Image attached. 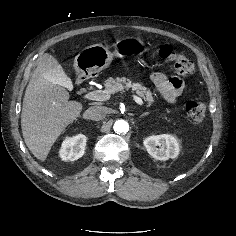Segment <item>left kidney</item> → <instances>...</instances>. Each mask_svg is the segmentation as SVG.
Returning a JSON list of instances; mask_svg holds the SVG:
<instances>
[{
    "mask_svg": "<svg viewBox=\"0 0 236 236\" xmlns=\"http://www.w3.org/2000/svg\"><path fill=\"white\" fill-rule=\"evenodd\" d=\"M143 143L149 155L156 160L165 161L176 158L180 152L178 140L168 134L149 136Z\"/></svg>",
    "mask_w": 236,
    "mask_h": 236,
    "instance_id": "left-kidney-1",
    "label": "left kidney"
}]
</instances>
